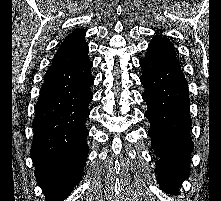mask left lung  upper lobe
<instances>
[{
	"label": "left lung upper lobe",
	"instance_id": "left-lung-upper-lobe-1",
	"mask_svg": "<svg viewBox=\"0 0 221 201\" xmlns=\"http://www.w3.org/2000/svg\"><path fill=\"white\" fill-rule=\"evenodd\" d=\"M146 55L169 64L180 66L173 44L167 38L160 35L154 36L151 40Z\"/></svg>",
	"mask_w": 221,
	"mask_h": 201
}]
</instances>
